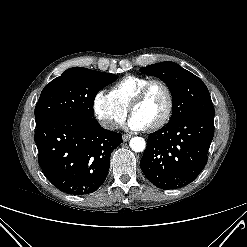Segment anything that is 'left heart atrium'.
<instances>
[{
	"mask_svg": "<svg viewBox=\"0 0 247 247\" xmlns=\"http://www.w3.org/2000/svg\"><path fill=\"white\" fill-rule=\"evenodd\" d=\"M128 126L133 130H143L149 127L148 124L135 114L129 119Z\"/></svg>",
	"mask_w": 247,
	"mask_h": 247,
	"instance_id": "39dd6f15",
	"label": "left heart atrium"
}]
</instances>
